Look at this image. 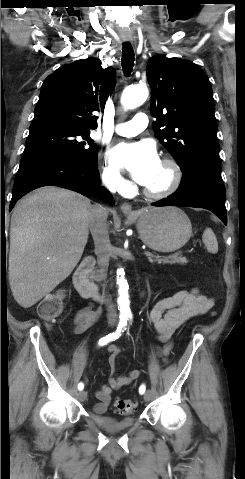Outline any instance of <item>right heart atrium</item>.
<instances>
[{"label":"right heart atrium","mask_w":245,"mask_h":479,"mask_svg":"<svg viewBox=\"0 0 245 479\" xmlns=\"http://www.w3.org/2000/svg\"><path fill=\"white\" fill-rule=\"evenodd\" d=\"M100 177L102 184L112 191L123 192L129 185L119 170L108 164L102 166Z\"/></svg>","instance_id":"obj_1"}]
</instances>
